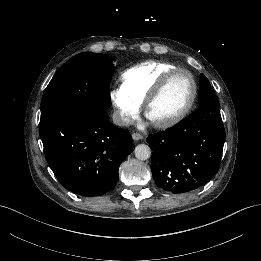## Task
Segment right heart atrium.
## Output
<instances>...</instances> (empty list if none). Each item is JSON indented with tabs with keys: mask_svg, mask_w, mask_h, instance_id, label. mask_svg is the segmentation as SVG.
Returning <instances> with one entry per match:
<instances>
[{
	"mask_svg": "<svg viewBox=\"0 0 261 261\" xmlns=\"http://www.w3.org/2000/svg\"><path fill=\"white\" fill-rule=\"evenodd\" d=\"M110 100L120 124L129 126L138 119L141 105L125 89L117 87L111 90Z\"/></svg>",
	"mask_w": 261,
	"mask_h": 261,
	"instance_id": "1",
	"label": "right heart atrium"
}]
</instances>
